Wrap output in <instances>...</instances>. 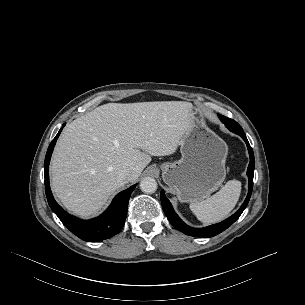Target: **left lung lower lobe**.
I'll return each instance as SVG.
<instances>
[{"label":"left lung lower lobe","instance_id":"obj_1","mask_svg":"<svg viewBox=\"0 0 305 305\" xmlns=\"http://www.w3.org/2000/svg\"><path fill=\"white\" fill-rule=\"evenodd\" d=\"M238 135H240L243 138V140L246 142L248 152L250 155V163H249V166L247 169V175L249 178V188H248V194H247L245 201L242 203L239 210H237L232 216H230L226 220H224L220 223L214 224V225L204 227V228H192V227H189L188 225H186L178 217V215L175 213L170 201L166 198L164 191L162 190L161 191V203H162L163 210H164L168 220L177 230H179L187 235L194 236V237H213V236L223 232L229 226H231L240 217V215L246 208V206L250 200L252 188H253V175H254L255 160H254L253 150L246 138L245 133H241Z\"/></svg>","mask_w":305,"mask_h":305}]
</instances>
